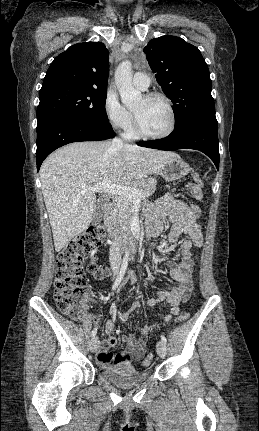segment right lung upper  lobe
<instances>
[{
	"label": "right lung upper lobe",
	"instance_id": "1",
	"mask_svg": "<svg viewBox=\"0 0 259 431\" xmlns=\"http://www.w3.org/2000/svg\"><path fill=\"white\" fill-rule=\"evenodd\" d=\"M109 52L101 42L78 43L58 55L46 72L40 92L62 84L106 90Z\"/></svg>",
	"mask_w": 259,
	"mask_h": 431
}]
</instances>
